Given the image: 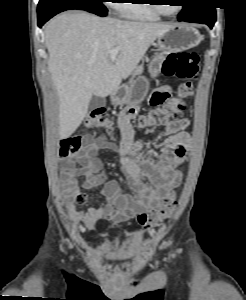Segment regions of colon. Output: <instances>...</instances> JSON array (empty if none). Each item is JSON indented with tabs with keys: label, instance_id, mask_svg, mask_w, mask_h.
<instances>
[{
	"label": "colon",
	"instance_id": "5ec220e1",
	"mask_svg": "<svg viewBox=\"0 0 246 300\" xmlns=\"http://www.w3.org/2000/svg\"><path fill=\"white\" fill-rule=\"evenodd\" d=\"M162 72L166 77L184 79L185 81L178 86L176 94L172 98H168L162 93H155L151 98L154 107L138 117L136 121L138 128L165 123L169 119L174 121L181 119V111L184 109L183 100L192 94L193 82L199 75V57L192 52L170 55L163 63ZM86 125L89 128H103L109 132L113 127L112 120L104 108L93 109L86 120ZM83 142L82 136H72L66 139L61 146L60 154L69 156L76 153ZM176 205V195L170 191L161 199L157 207L139 214L137 222L145 229L159 226L172 215Z\"/></svg>",
	"mask_w": 246,
	"mask_h": 300
}]
</instances>
